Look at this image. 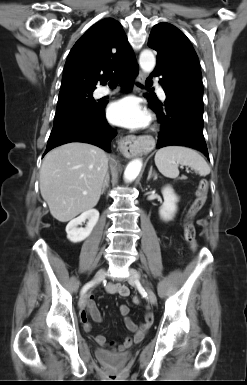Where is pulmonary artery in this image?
Returning <instances> with one entry per match:
<instances>
[{
    "label": "pulmonary artery",
    "mask_w": 247,
    "mask_h": 385,
    "mask_svg": "<svg viewBox=\"0 0 247 385\" xmlns=\"http://www.w3.org/2000/svg\"><path fill=\"white\" fill-rule=\"evenodd\" d=\"M157 91H158L160 98L165 99V97H166L165 92L160 86H157ZM111 93H112V91L108 87H105V86L99 87L95 91V94L97 97H103V96L109 95Z\"/></svg>",
    "instance_id": "obj_1"
}]
</instances>
